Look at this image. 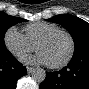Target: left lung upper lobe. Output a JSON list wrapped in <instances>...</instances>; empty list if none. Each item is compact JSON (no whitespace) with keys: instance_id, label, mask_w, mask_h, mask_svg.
I'll list each match as a JSON object with an SVG mask.
<instances>
[{"instance_id":"left-lung-upper-lobe-1","label":"left lung upper lobe","mask_w":89,"mask_h":89,"mask_svg":"<svg viewBox=\"0 0 89 89\" xmlns=\"http://www.w3.org/2000/svg\"><path fill=\"white\" fill-rule=\"evenodd\" d=\"M48 21L62 25L71 34L75 43L73 56L89 51V23L72 15H56Z\"/></svg>"}]
</instances>
